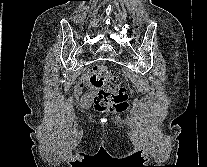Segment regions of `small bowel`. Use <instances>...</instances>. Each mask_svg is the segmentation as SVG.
<instances>
[{
  "label": "small bowel",
  "instance_id": "obj_1",
  "mask_svg": "<svg viewBox=\"0 0 207 167\" xmlns=\"http://www.w3.org/2000/svg\"><path fill=\"white\" fill-rule=\"evenodd\" d=\"M82 90H84L85 93L81 96ZM95 94L96 88L91 85L88 77L82 78L73 90V95L76 101L82 107L89 106Z\"/></svg>",
  "mask_w": 207,
  "mask_h": 167
}]
</instances>
